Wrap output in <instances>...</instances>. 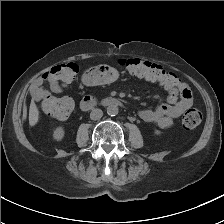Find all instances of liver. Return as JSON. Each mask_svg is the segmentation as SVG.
<instances>
[{
	"label": "liver",
	"mask_w": 224,
	"mask_h": 224,
	"mask_svg": "<svg viewBox=\"0 0 224 224\" xmlns=\"http://www.w3.org/2000/svg\"><path fill=\"white\" fill-rule=\"evenodd\" d=\"M38 118H39V111L36 107L34 99H32L29 108V125L34 126L38 122Z\"/></svg>",
	"instance_id": "1"
}]
</instances>
